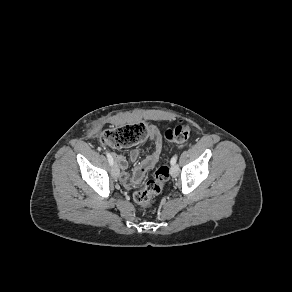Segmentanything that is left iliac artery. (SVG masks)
I'll return each instance as SVG.
<instances>
[{
  "label": "left iliac artery",
  "instance_id": "44dca946",
  "mask_svg": "<svg viewBox=\"0 0 292 292\" xmlns=\"http://www.w3.org/2000/svg\"><path fill=\"white\" fill-rule=\"evenodd\" d=\"M177 157H178V156L175 154V155L171 158V161H170L171 165L176 164V162H177Z\"/></svg>",
  "mask_w": 292,
  "mask_h": 292
}]
</instances>
